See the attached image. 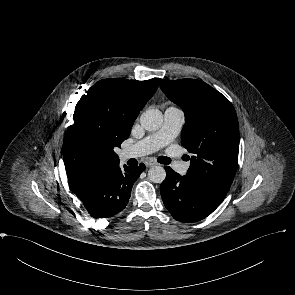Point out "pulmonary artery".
Masks as SVG:
<instances>
[{
  "label": "pulmonary artery",
  "mask_w": 295,
  "mask_h": 295,
  "mask_svg": "<svg viewBox=\"0 0 295 295\" xmlns=\"http://www.w3.org/2000/svg\"><path fill=\"white\" fill-rule=\"evenodd\" d=\"M184 123L183 111L175 106H170L165 110L162 127L155 133L145 137L135 144L125 148L122 151V158L129 159L153 153L173 141ZM174 169L180 174H186L189 164L185 162H176Z\"/></svg>",
  "instance_id": "1"
}]
</instances>
